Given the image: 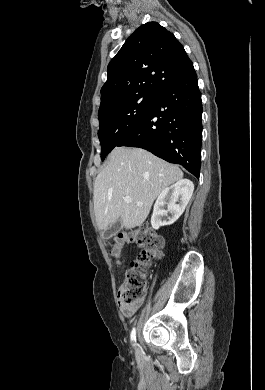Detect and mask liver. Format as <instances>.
I'll return each mask as SVG.
<instances>
[{"label": "liver", "instance_id": "obj_1", "mask_svg": "<svg viewBox=\"0 0 265 390\" xmlns=\"http://www.w3.org/2000/svg\"><path fill=\"white\" fill-rule=\"evenodd\" d=\"M183 178L182 170L141 148L116 147L94 184V211L98 228L117 219L131 229L146 220L154 200L169 185ZM129 196L132 201L124 202ZM141 202L143 205L138 206Z\"/></svg>", "mask_w": 265, "mask_h": 390}]
</instances>
